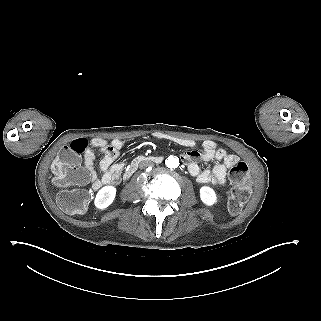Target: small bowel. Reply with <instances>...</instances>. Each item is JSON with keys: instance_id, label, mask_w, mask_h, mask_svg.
I'll use <instances>...</instances> for the list:
<instances>
[{"instance_id": "1", "label": "small bowel", "mask_w": 321, "mask_h": 321, "mask_svg": "<svg viewBox=\"0 0 321 321\" xmlns=\"http://www.w3.org/2000/svg\"><path fill=\"white\" fill-rule=\"evenodd\" d=\"M155 138L167 139L183 147L193 148L195 141L188 138L169 136L161 133L154 134ZM90 145L103 153L99 167L101 176H98L94 161L95 155L89 147L84 154V166L89 173L91 185L94 190H99L104 185L119 181L124 169L123 163H114L124 146L121 139L107 141L100 137L90 140ZM182 160L187 164L188 172L201 184L223 185L226 181V171L229 167L238 162L236 155L229 154L226 150L219 148L214 141L207 140L203 143L201 152L189 150L181 155ZM198 161H214L212 168L201 169Z\"/></svg>"}]
</instances>
